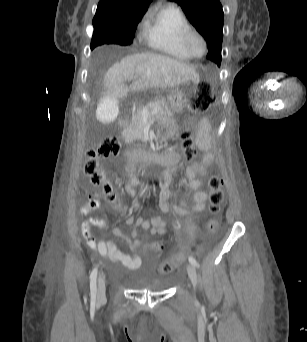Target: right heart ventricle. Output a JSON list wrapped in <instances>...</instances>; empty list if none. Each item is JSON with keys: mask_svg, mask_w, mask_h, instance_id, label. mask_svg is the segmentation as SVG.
Segmentation results:
<instances>
[{"mask_svg": "<svg viewBox=\"0 0 307 342\" xmlns=\"http://www.w3.org/2000/svg\"><path fill=\"white\" fill-rule=\"evenodd\" d=\"M192 24L189 14L180 8L172 7L163 13L161 30L154 34L135 37L136 51L154 52L177 61L188 62L191 58L182 47V35Z\"/></svg>", "mask_w": 307, "mask_h": 342, "instance_id": "e07e8e85", "label": "right heart ventricle"}]
</instances>
